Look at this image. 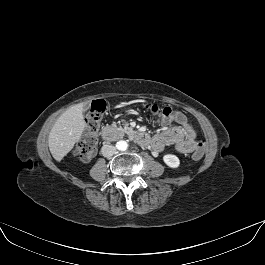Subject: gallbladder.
I'll list each match as a JSON object with an SVG mask.
<instances>
[{
  "label": "gallbladder",
  "instance_id": "1",
  "mask_svg": "<svg viewBox=\"0 0 265 265\" xmlns=\"http://www.w3.org/2000/svg\"><path fill=\"white\" fill-rule=\"evenodd\" d=\"M89 109V105L84 106V111Z\"/></svg>",
  "mask_w": 265,
  "mask_h": 265
}]
</instances>
